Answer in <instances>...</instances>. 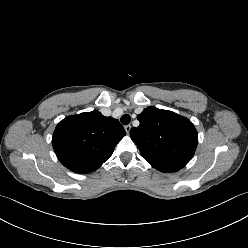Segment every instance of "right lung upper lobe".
I'll return each mask as SVG.
<instances>
[{"label": "right lung upper lobe", "instance_id": "right-lung-upper-lobe-1", "mask_svg": "<svg viewBox=\"0 0 248 248\" xmlns=\"http://www.w3.org/2000/svg\"><path fill=\"white\" fill-rule=\"evenodd\" d=\"M125 135L117 119L94 110L60 121L53 133L52 145L66 168L85 174L98 169Z\"/></svg>", "mask_w": 248, "mask_h": 248}]
</instances>
